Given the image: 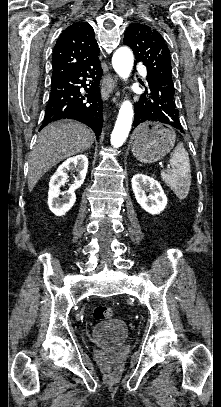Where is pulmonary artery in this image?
I'll list each match as a JSON object with an SVG mask.
<instances>
[{
  "mask_svg": "<svg viewBox=\"0 0 221 407\" xmlns=\"http://www.w3.org/2000/svg\"><path fill=\"white\" fill-rule=\"evenodd\" d=\"M140 71H141L143 74H145V73H146L145 67H141V68H140Z\"/></svg>",
  "mask_w": 221,
  "mask_h": 407,
  "instance_id": "1",
  "label": "pulmonary artery"
}]
</instances>
